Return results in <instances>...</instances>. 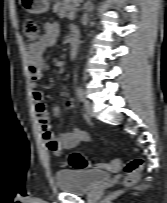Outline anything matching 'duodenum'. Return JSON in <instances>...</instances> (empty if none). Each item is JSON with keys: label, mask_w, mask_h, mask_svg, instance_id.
I'll use <instances>...</instances> for the list:
<instances>
[{"label": "duodenum", "mask_w": 167, "mask_h": 203, "mask_svg": "<svg viewBox=\"0 0 167 203\" xmlns=\"http://www.w3.org/2000/svg\"><path fill=\"white\" fill-rule=\"evenodd\" d=\"M77 54H78V42L77 39L74 38L70 47L69 58L71 60H74L77 57Z\"/></svg>", "instance_id": "410a0bca"}]
</instances>
